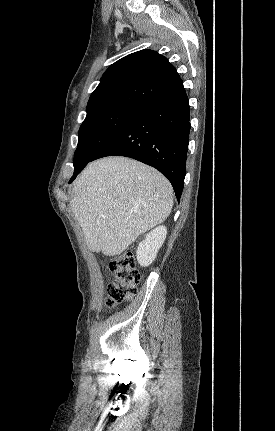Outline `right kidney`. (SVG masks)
I'll return each instance as SVG.
<instances>
[{"label": "right kidney", "instance_id": "right-kidney-1", "mask_svg": "<svg viewBox=\"0 0 275 431\" xmlns=\"http://www.w3.org/2000/svg\"><path fill=\"white\" fill-rule=\"evenodd\" d=\"M166 234L167 229L162 225L148 233L146 239L139 243L136 256L141 266H149L155 260L158 250L164 243Z\"/></svg>", "mask_w": 275, "mask_h": 431}]
</instances>
